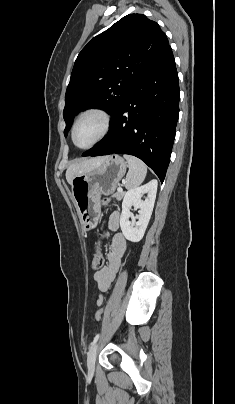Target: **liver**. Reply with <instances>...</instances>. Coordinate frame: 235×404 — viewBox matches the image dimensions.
Here are the masks:
<instances>
[{
  "mask_svg": "<svg viewBox=\"0 0 235 404\" xmlns=\"http://www.w3.org/2000/svg\"><path fill=\"white\" fill-rule=\"evenodd\" d=\"M105 158L106 157L84 159L71 164L66 171L67 182L71 184L74 177L92 170L96 166L100 165Z\"/></svg>",
  "mask_w": 235,
  "mask_h": 404,
  "instance_id": "6515ba94",
  "label": "liver"
}]
</instances>
